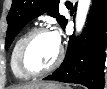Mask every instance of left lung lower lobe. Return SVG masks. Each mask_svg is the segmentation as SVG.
<instances>
[{
    "label": "left lung lower lobe",
    "mask_w": 107,
    "mask_h": 89,
    "mask_svg": "<svg viewBox=\"0 0 107 89\" xmlns=\"http://www.w3.org/2000/svg\"><path fill=\"white\" fill-rule=\"evenodd\" d=\"M106 45L107 0H93L82 36L77 39L69 37L63 63L44 80L77 83L89 89H103Z\"/></svg>",
    "instance_id": "0a47b994"
}]
</instances>
